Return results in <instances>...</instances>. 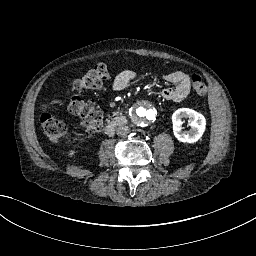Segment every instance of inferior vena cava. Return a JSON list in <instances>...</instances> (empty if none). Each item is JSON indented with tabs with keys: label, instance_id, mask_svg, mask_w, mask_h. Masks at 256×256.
I'll return each mask as SVG.
<instances>
[{
	"label": "inferior vena cava",
	"instance_id": "inferior-vena-cava-1",
	"mask_svg": "<svg viewBox=\"0 0 256 256\" xmlns=\"http://www.w3.org/2000/svg\"><path fill=\"white\" fill-rule=\"evenodd\" d=\"M130 133V128L127 125H120L117 127V134L120 136H126Z\"/></svg>",
	"mask_w": 256,
	"mask_h": 256
}]
</instances>
